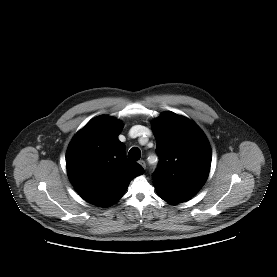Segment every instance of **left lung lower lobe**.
I'll return each instance as SVG.
<instances>
[{"mask_svg": "<svg viewBox=\"0 0 277 277\" xmlns=\"http://www.w3.org/2000/svg\"><path fill=\"white\" fill-rule=\"evenodd\" d=\"M156 190H157V193L160 196V198H162L163 200H165L166 202H168L170 204L181 203L182 201H185L188 199L187 197L171 194V193L165 192V191L157 189V188H156Z\"/></svg>", "mask_w": 277, "mask_h": 277, "instance_id": "left-lung-lower-lobe-1", "label": "left lung lower lobe"}]
</instances>
